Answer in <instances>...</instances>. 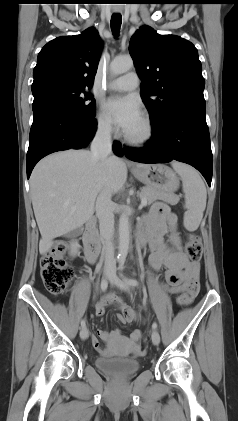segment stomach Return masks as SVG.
<instances>
[{
    "mask_svg": "<svg viewBox=\"0 0 238 421\" xmlns=\"http://www.w3.org/2000/svg\"><path fill=\"white\" fill-rule=\"evenodd\" d=\"M133 175L147 187L159 189L166 193H174L179 188V178L166 165L152 164L143 168L132 169Z\"/></svg>",
    "mask_w": 238,
    "mask_h": 421,
    "instance_id": "1",
    "label": "stomach"
}]
</instances>
